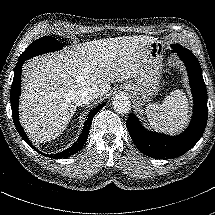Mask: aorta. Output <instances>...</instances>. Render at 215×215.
Returning a JSON list of instances; mask_svg holds the SVG:
<instances>
[{"label": "aorta", "mask_w": 215, "mask_h": 215, "mask_svg": "<svg viewBox=\"0 0 215 215\" xmlns=\"http://www.w3.org/2000/svg\"><path fill=\"white\" fill-rule=\"evenodd\" d=\"M113 108L116 112L128 113L131 109V101L127 96L116 95L112 101Z\"/></svg>", "instance_id": "1"}]
</instances>
